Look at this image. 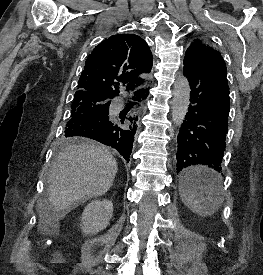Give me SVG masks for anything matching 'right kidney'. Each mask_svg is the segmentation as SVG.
Listing matches in <instances>:
<instances>
[{
    "label": "right kidney",
    "mask_w": 263,
    "mask_h": 275,
    "mask_svg": "<svg viewBox=\"0 0 263 275\" xmlns=\"http://www.w3.org/2000/svg\"><path fill=\"white\" fill-rule=\"evenodd\" d=\"M113 203L110 200H93L84 209L81 230L85 235L104 230L112 217Z\"/></svg>",
    "instance_id": "ca27d5eb"
}]
</instances>
